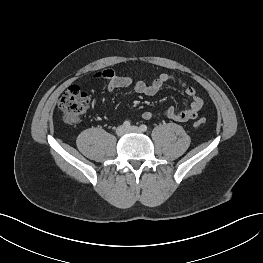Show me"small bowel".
I'll return each instance as SVG.
<instances>
[{
  "label": "small bowel",
  "mask_w": 263,
  "mask_h": 263,
  "mask_svg": "<svg viewBox=\"0 0 263 263\" xmlns=\"http://www.w3.org/2000/svg\"><path fill=\"white\" fill-rule=\"evenodd\" d=\"M93 79L103 78L107 81V90L114 91L117 89L133 87L138 94L146 96L157 95L166 83L173 82L180 85L185 94L189 97V107L183 110H177L174 107L168 108L164 115L166 118L176 122H186L197 117L199 111L203 108V100L197 95L196 89L188 86L185 82L177 79L174 75L162 73L152 82L144 80L134 81L131 77L120 76L112 69H106L102 72L93 74ZM142 117L145 120H151L155 117L151 111H144Z\"/></svg>",
  "instance_id": "c3829d8e"
}]
</instances>
